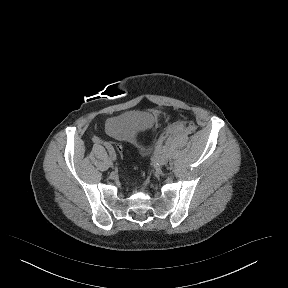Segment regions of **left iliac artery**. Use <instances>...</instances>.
I'll return each mask as SVG.
<instances>
[{
  "label": "left iliac artery",
  "mask_w": 288,
  "mask_h": 288,
  "mask_svg": "<svg viewBox=\"0 0 288 288\" xmlns=\"http://www.w3.org/2000/svg\"><path fill=\"white\" fill-rule=\"evenodd\" d=\"M159 153H160V154H164V153H165V148L162 147V148L159 150Z\"/></svg>",
  "instance_id": "obj_1"
}]
</instances>
